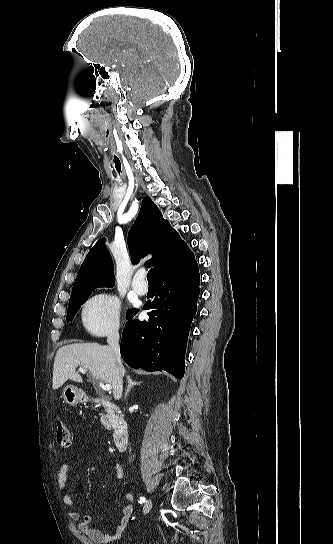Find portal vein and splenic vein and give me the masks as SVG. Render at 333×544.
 <instances>
[{"mask_svg":"<svg viewBox=\"0 0 333 544\" xmlns=\"http://www.w3.org/2000/svg\"><path fill=\"white\" fill-rule=\"evenodd\" d=\"M79 371L81 373H85L86 370L83 368V367H80L79 368ZM99 386L104 390V391H110L112 389V386L110 384H104L103 382H99Z\"/></svg>","mask_w":333,"mask_h":544,"instance_id":"18ae733b","label":"portal vein and splenic vein"}]
</instances>
